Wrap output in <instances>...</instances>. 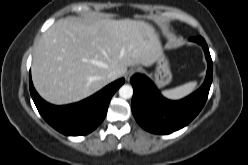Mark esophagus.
I'll use <instances>...</instances> for the list:
<instances>
[{
    "label": "esophagus",
    "instance_id": "obj_1",
    "mask_svg": "<svg viewBox=\"0 0 248 165\" xmlns=\"http://www.w3.org/2000/svg\"><path fill=\"white\" fill-rule=\"evenodd\" d=\"M138 71H139V69L136 68V67H133V68L129 69V70L126 72V74H125L126 80H129V79L131 78V76H132L133 74H135L136 72H138Z\"/></svg>",
    "mask_w": 248,
    "mask_h": 165
}]
</instances>
